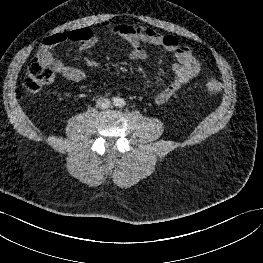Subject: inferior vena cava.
I'll list each match as a JSON object with an SVG mask.
<instances>
[{"mask_svg": "<svg viewBox=\"0 0 263 263\" xmlns=\"http://www.w3.org/2000/svg\"><path fill=\"white\" fill-rule=\"evenodd\" d=\"M110 106H111V101L108 98L100 97L96 101V107L100 109H106L109 108Z\"/></svg>", "mask_w": 263, "mask_h": 263, "instance_id": "inferior-vena-cava-1", "label": "inferior vena cava"}]
</instances>
